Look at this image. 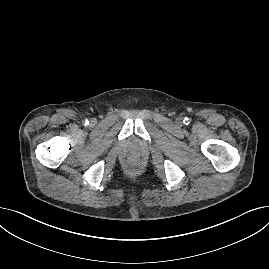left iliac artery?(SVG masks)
Wrapping results in <instances>:
<instances>
[{
	"label": "left iliac artery",
	"mask_w": 269,
	"mask_h": 269,
	"mask_svg": "<svg viewBox=\"0 0 269 269\" xmlns=\"http://www.w3.org/2000/svg\"><path fill=\"white\" fill-rule=\"evenodd\" d=\"M184 123L188 124L189 123V119L188 118H185L184 119Z\"/></svg>",
	"instance_id": "obj_1"
}]
</instances>
